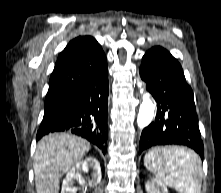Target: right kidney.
I'll list each match as a JSON object with an SVG mask.
<instances>
[{"label": "right kidney", "mask_w": 221, "mask_h": 193, "mask_svg": "<svg viewBox=\"0 0 221 193\" xmlns=\"http://www.w3.org/2000/svg\"><path fill=\"white\" fill-rule=\"evenodd\" d=\"M89 168L93 169L92 179L89 181L90 186H96L101 181V167L100 163L96 158L88 157L85 160L76 163V165L67 173L66 178L63 180L61 193H76L78 190L74 186V183L77 181L80 185L85 184L81 172H88ZM83 193H86V189L83 190Z\"/></svg>", "instance_id": "ca27d5eb"}]
</instances>
